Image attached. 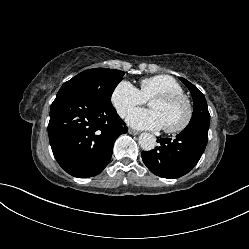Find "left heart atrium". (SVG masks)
Instances as JSON below:
<instances>
[{
  "instance_id": "1",
  "label": "left heart atrium",
  "mask_w": 249,
  "mask_h": 249,
  "mask_svg": "<svg viewBox=\"0 0 249 249\" xmlns=\"http://www.w3.org/2000/svg\"><path fill=\"white\" fill-rule=\"evenodd\" d=\"M127 123L136 129L158 130L164 126L159 114L152 109H134L128 115Z\"/></svg>"
}]
</instances>
